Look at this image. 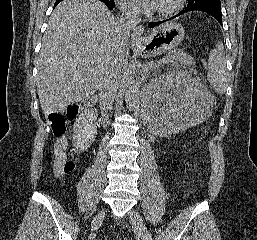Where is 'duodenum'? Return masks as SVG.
<instances>
[{"label": "duodenum", "instance_id": "obj_1", "mask_svg": "<svg viewBox=\"0 0 257 240\" xmlns=\"http://www.w3.org/2000/svg\"><path fill=\"white\" fill-rule=\"evenodd\" d=\"M83 108L84 110L90 114L92 112V110L94 109L95 107V104H96V98L94 96H89L87 98H85L83 100Z\"/></svg>", "mask_w": 257, "mask_h": 240}]
</instances>
